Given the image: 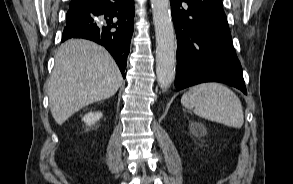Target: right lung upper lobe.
Listing matches in <instances>:
<instances>
[{
	"label": "right lung upper lobe",
	"instance_id": "1",
	"mask_svg": "<svg viewBox=\"0 0 293 184\" xmlns=\"http://www.w3.org/2000/svg\"><path fill=\"white\" fill-rule=\"evenodd\" d=\"M82 1H91V0H71L70 6L81 3Z\"/></svg>",
	"mask_w": 293,
	"mask_h": 184
}]
</instances>
